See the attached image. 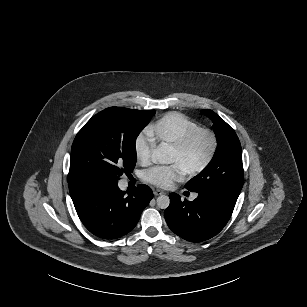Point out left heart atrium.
<instances>
[{
  "mask_svg": "<svg viewBox=\"0 0 307 307\" xmlns=\"http://www.w3.org/2000/svg\"><path fill=\"white\" fill-rule=\"evenodd\" d=\"M186 169L178 163L154 164L143 171V178L158 187L166 188L174 181L183 180Z\"/></svg>",
  "mask_w": 307,
  "mask_h": 307,
  "instance_id": "1",
  "label": "left heart atrium"
}]
</instances>
